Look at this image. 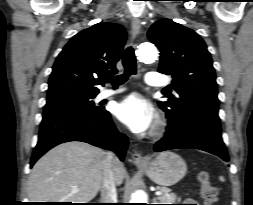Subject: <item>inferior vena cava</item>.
<instances>
[{"label": "inferior vena cava", "mask_w": 253, "mask_h": 205, "mask_svg": "<svg viewBox=\"0 0 253 205\" xmlns=\"http://www.w3.org/2000/svg\"><path fill=\"white\" fill-rule=\"evenodd\" d=\"M115 157L112 152L106 154V160L103 171V181L101 186V203H116V181L113 172V161Z\"/></svg>", "instance_id": "1"}]
</instances>
